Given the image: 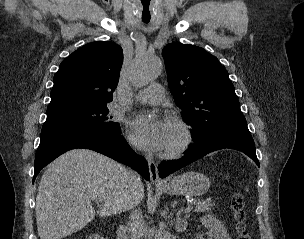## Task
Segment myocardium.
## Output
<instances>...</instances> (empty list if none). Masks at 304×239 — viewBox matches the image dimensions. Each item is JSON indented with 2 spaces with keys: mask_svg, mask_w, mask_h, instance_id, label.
<instances>
[{
  "mask_svg": "<svg viewBox=\"0 0 304 239\" xmlns=\"http://www.w3.org/2000/svg\"><path fill=\"white\" fill-rule=\"evenodd\" d=\"M174 124L179 131L180 139L175 145L165 149L163 157L168 159L178 158L185 154L195 140L194 129L188 122L177 119L174 121Z\"/></svg>",
  "mask_w": 304,
  "mask_h": 239,
  "instance_id": "myocardium-1",
  "label": "myocardium"
}]
</instances>
